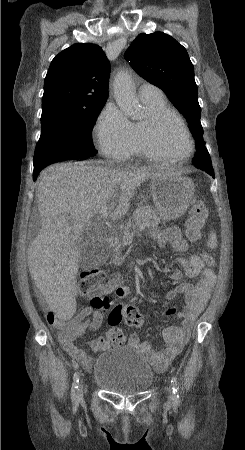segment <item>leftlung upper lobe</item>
Wrapping results in <instances>:
<instances>
[{
  "mask_svg": "<svg viewBox=\"0 0 245 450\" xmlns=\"http://www.w3.org/2000/svg\"><path fill=\"white\" fill-rule=\"evenodd\" d=\"M125 59L140 76L167 95L187 119L195 144L205 146L194 68L186 49L167 34L142 33L125 52ZM199 157L196 153L193 158L195 167H212L209 153L205 160Z\"/></svg>",
  "mask_w": 245,
  "mask_h": 450,
  "instance_id": "5c2ea615",
  "label": "left lung upper lobe"
}]
</instances>
